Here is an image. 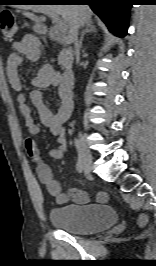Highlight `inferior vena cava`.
<instances>
[{
    "mask_svg": "<svg viewBox=\"0 0 156 266\" xmlns=\"http://www.w3.org/2000/svg\"><path fill=\"white\" fill-rule=\"evenodd\" d=\"M73 42H74V46H75V54H76V56L78 58L79 50H80V47H81L80 44H79V41H78V26H76L75 30H74Z\"/></svg>",
    "mask_w": 156,
    "mask_h": 266,
    "instance_id": "602c4592",
    "label": "inferior vena cava"
}]
</instances>
